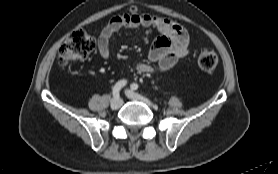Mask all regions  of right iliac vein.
I'll return each instance as SVG.
<instances>
[{"label":"right iliac vein","instance_id":"right-iliac-vein-1","mask_svg":"<svg viewBox=\"0 0 278 174\" xmlns=\"http://www.w3.org/2000/svg\"><path fill=\"white\" fill-rule=\"evenodd\" d=\"M122 104H123V100H122L120 97H118V98H113V99L111 100V108H113V109H118V108H120V107L122 106Z\"/></svg>","mask_w":278,"mask_h":174}]
</instances>
